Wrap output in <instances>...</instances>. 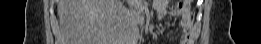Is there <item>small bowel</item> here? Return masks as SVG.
<instances>
[{"instance_id":"c3829d8e","label":"small bowel","mask_w":261,"mask_h":44,"mask_svg":"<svg viewBox=\"0 0 261 44\" xmlns=\"http://www.w3.org/2000/svg\"><path fill=\"white\" fill-rule=\"evenodd\" d=\"M151 6L156 14L157 19L163 18L168 13L181 16L180 28L182 34L180 38V44H189L191 42L194 31V24L192 20V10L189 8V6H185L183 8L177 6L170 9L169 1L167 0H154L152 1ZM137 8L143 12L146 6L142 3H138Z\"/></svg>"}]
</instances>
